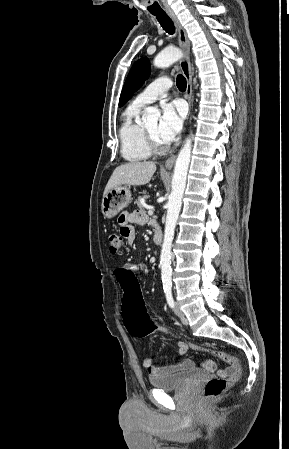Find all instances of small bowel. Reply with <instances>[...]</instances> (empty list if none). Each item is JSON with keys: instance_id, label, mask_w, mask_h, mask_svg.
Returning a JSON list of instances; mask_svg holds the SVG:
<instances>
[{"instance_id": "small-bowel-1", "label": "small bowel", "mask_w": 289, "mask_h": 449, "mask_svg": "<svg viewBox=\"0 0 289 449\" xmlns=\"http://www.w3.org/2000/svg\"><path fill=\"white\" fill-rule=\"evenodd\" d=\"M148 221V217L142 211L123 212L119 217L120 234L124 237L128 246H131L135 239L134 225H144ZM121 268H132L133 271H146V267L143 265L125 264ZM136 337V336H135ZM138 342L142 344L141 337H136ZM189 344L186 340L180 339L178 341V358L184 355L188 349ZM143 367L148 371L150 375H160L164 373H172L184 370H190L195 367V362L191 359H185L177 362L176 364L168 366H157L153 364V358L148 357L143 361ZM202 367L207 371H214L216 369V363L213 360H206L202 363ZM235 370L233 365H229L226 368L219 370V376H229Z\"/></svg>"}]
</instances>
